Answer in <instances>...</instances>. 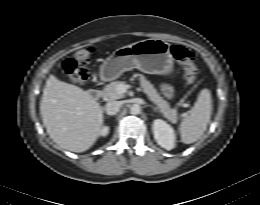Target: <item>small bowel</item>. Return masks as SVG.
Here are the masks:
<instances>
[{
	"mask_svg": "<svg viewBox=\"0 0 260 205\" xmlns=\"http://www.w3.org/2000/svg\"><path fill=\"white\" fill-rule=\"evenodd\" d=\"M163 91H164L166 96H170V91H171L170 87L164 86Z\"/></svg>",
	"mask_w": 260,
	"mask_h": 205,
	"instance_id": "obj_1",
	"label": "small bowel"
}]
</instances>
